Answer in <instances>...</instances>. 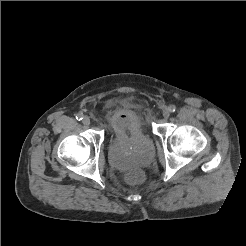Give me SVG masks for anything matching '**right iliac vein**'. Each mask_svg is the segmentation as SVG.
<instances>
[{"mask_svg": "<svg viewBox=\"0 0 246 246\" xmlns=\"http://www.w3.org/2000/svg\"><path fill=\"white\" fill-rule=\"evenodd\" d=\"M82 123L84 125H89L90 124V118L88 116H84L83 120H82Z\"/></svg>", "mask_w": 246, "mask_h": 246, "instance_id": "right-iliac-vein-1", "label": "right iliac vein"}]
</instances>
